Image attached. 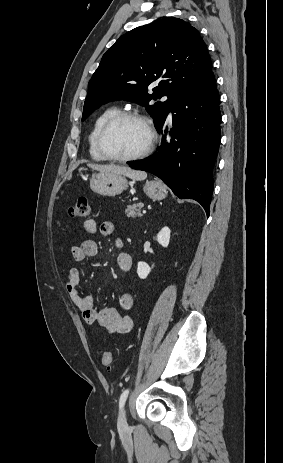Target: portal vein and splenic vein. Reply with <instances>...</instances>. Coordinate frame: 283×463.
Wrapping results in <instances>:
<instances>
[{
	"instance_id": "obj_1",
	"label": "portal vein and splenic vein",
	"mask_w": 283,
	"mask_h": 463,
	"mask_svg": "<svg viewBox=\"0 0 283 463\" xmlns=\"http://www.w3.org/2000/svg\"><path fill=\"white\" fill-rule=\"evenodd\" d=\"M143 213L145 214V213H146V210H143Z\"/></svg>"
}]
</instances>
